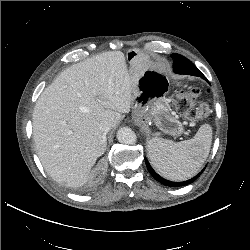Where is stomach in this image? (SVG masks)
Here are the masks:
<instances>
[{"mask_svg": "<svg viewBox=\"0 0 250 250\" xmlns=\"http://www.w3.org/2000/svg\"><path fill=\"white\" fill-rule=\"evenodd\" d=\"M130 72L133 76L147 64V57L139 49L127 52ZM168 83L157 76L153 70H144L133 83L132 106L133 122L146 127L154 122L163 132L178 135L183 131L181 123L171 114L165 99Z\"/></svg>", "mask_w": 250, "mask_h": 250, "instance_id": "0dacf381", "label": "stomach"}]
</instances>
